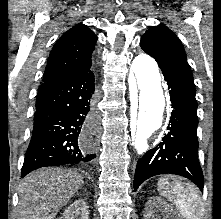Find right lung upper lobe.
<instances>
[{"instance_id": "obj_1", "label": "right lung upper lobe", "mask_w": 221, "mask_h": 219, "mask_svg": "<svg viewBox=\"0 0 221 219\" xmlns=\"http://www.w3.org/2000/svg\"><path fill=\"white\" fill-rule=\"evenodd\" d=\"M96 41L94 32L82 23L65 32L50 53L43 82L71 75L91 64Z\"/></svg>"}]
</instances>
